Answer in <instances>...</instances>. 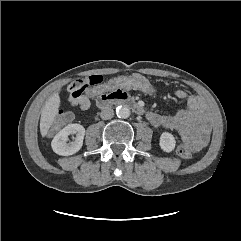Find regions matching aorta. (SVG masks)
I'll return each mask as SVG.
<instances>
[{"label": "aorta", "mask_w": 241, "mask_h": 241, "mask_svg": "<svg viewBox=\"0 0 241 241\" xmlns=\"http://www.w3.org/2000/svg\"><path fill=\"white\" fill-rule=\"evenodd\" d=\"M116 114L119 118H128L131 114L130 109L126 106H118L116 108Z\"/></svg>", "instance_id": "1"}]
</instances>
